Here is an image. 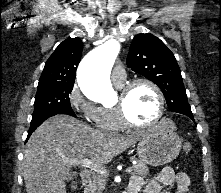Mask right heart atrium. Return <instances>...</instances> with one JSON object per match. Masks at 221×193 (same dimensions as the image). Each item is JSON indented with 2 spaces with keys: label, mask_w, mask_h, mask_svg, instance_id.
<instances>
[{
  "label": "right heart atrium",
  "mask_w": 221,
  "mask_h": 193,
  "mask_svg": "<svg viewBox=\"0 0 221 193\" xmlns=\"http://www.w3.org/2000/svg\"><path fill=\"white\" fill-rule=\"evenodd\" d=\"M70 107L84 119L96 123L99 119V107L94 105L81 93L77 84L73 85L68 94Z\"/></svg>",
  "instance_id": "1"
}]
</instances>
